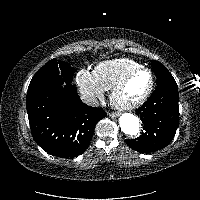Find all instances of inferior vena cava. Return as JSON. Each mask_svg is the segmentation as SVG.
<instances>
[{"mask_svg": "<svg viewBox=\"0 0 200 200\" xmlns=\"http://www.w3.org/2000/svg\"><path fill=\"white\" fill-rule=\"evenodd\" d=\"M81 100L87 104V105H90V106H93V107H97L99 106V101L96 97L94 96H90V95H82L81 96Z\"/></svg>", "mask_w": 200, "mask_h": 200, "instance_id": "inferior-vena-cava-1", "label": "inferior vena cava"}]
</instances>
